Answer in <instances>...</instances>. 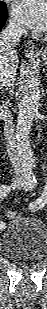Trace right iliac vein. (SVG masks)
<instances>
[{
    "label": "right iliac vein",
    "mask_w": 47,
    "mask_h": 309,
    "mask_svg": "<svg viewBox=\"0 0 47 309\" xmlns=\"http://www.w3.org/2000/svg\"><path fill=\"white\" fill-rule=\"evenodd\" d=\"M25 183V181L22 178H15L13 180L12 186L13 187H20Z\"/></svg>",
    "instance_id": "obj_1"
}]
</instances>
